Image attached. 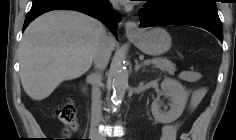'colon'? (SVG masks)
Segmentation results:
<instances>
[{
	"label": "colon",
	"instance_id": "5ec220e1",
	"mask_svg": "<svg viewBox=\"0 0 236 140\" xmlns=\"http://www.w3.org/2000/svg\"><path fill=\"white\" fill-rule=\"evenodd\" d=\"M54 113L65 125L66 132L75 127L76 113L72 100L69 97H67L64 102L56 107Z\"/></svg>",
	"mask_w": 236,
	"mask_h": 140
}]
</instances>
